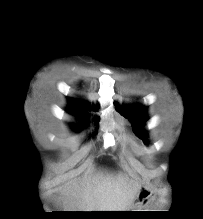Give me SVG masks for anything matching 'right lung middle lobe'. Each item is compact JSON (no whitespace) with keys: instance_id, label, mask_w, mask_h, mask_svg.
I'll return each mask as SVG.
<instances>
[{"instance_id":"dd1d6c3e","label":"right lung middle lobe","mask_w":203,"mask_h":219,"mask_svg":"<svg viewBox=\"0 0 203 219\" xmlns=\"http://www.w3.org/2000/svg\"><path fill=\"white\" fill-rule=\"evenodd\" d=\"M88 109H86L85 107L81 106V105H78V104H71V106L69 107V111L70 113L78 116V117H84V116H87V111ZM98 118H95V121L97 122ZM87 126V124L84 122V123H81L79 125H75L74 128L75 129H80L82 127H85Z\"/></svg>"}]
</instances>
